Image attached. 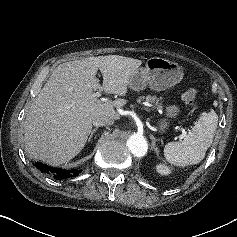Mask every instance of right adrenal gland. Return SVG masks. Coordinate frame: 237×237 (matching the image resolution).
<instances>
[{
  "instance_id": "right-adrenal-gland-1",
  "label": "right adrenal gland",
  "mask_w": 237,
  "mask_h": 237,
  "mask_svg": "<svg viewBox=\"0 0 237 237\" xmlns=\"http://www.w3.org/2000/svg\"><path fill=\"white\" fill-rule=\"evenodd\" d=\"M97 127L96 128H94L92 131H91V134H90V136H89V138H88V142H90L91 141V139L93 138V135H94V133L97 131Z\"/></svg>"
}]
</instances>
